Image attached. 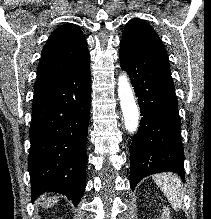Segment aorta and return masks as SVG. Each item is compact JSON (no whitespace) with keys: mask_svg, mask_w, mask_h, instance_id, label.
Wrapping results in <instances>:
<instances>
[{"mask_svg":"<svg viewBox=\"0 0 211 219\" xmlns=\"http://www.w3.org/2000/svg\"><path fill=\"white\" fill-rule=\"evenodd\" d=\"M118 97L124 117L125 128L131 133L138 129L139 109L134 100L130 82L126 74H121L118 79Z\"/></svg>","mask_w":211,"mask_h":219,"instance_id":"obj_1","label":"aorta"}]
</instances>
